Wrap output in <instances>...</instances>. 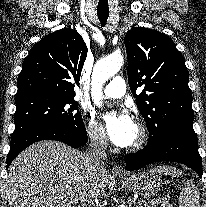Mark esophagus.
<instances>
[{"label": "esophagus", "mask_w": 206, "mask_h": 207, "mask_svg": "<svg viewBox=\"0 0 206 207\" xmlns=\"http://www.w3.org/2000/svg\"><path fill=\"white\" fill-rule=\"evenodd\" d=\"M112 174L114 176H122L125 173H124L123 168L119 164L114 163L113 166H112Z\"/></svg>", "instance_id": "34e87169"}]
</instances>
